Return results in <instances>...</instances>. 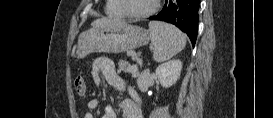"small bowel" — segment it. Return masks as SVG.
Here are the masks:
<instances>
[{
	"instance_id": "c3829d8e",
	"label": "small bowel",
	"mask_w": 273,
	"mask_h": 118,
	"mask_svg": "<svg viewBox=\"0 0 273 118\" xmlns=\"http://www.w3.org/2000/svg\"><path fill=\"white\" fill-rule=\"evenodd\" d=\"M92 77L97 85H99L102 80H105L115 89L129 95L120 104L123 118L143 117L140 98L136 90L127 79L118 74L115 64L111 58L105 56L96 58L92 64ZM98 107V99H90L87 103L89 112L84 115V118H93L91 111L97 110ZM103 118H117L115 109L111 106H106L104 108Z\"/></svg>"
}]
</instances>
